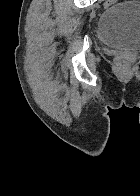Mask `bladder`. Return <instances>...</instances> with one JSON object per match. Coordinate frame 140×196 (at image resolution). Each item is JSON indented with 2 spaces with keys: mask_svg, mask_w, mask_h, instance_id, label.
<instances>
[{
  "mask_svg": "<svg viewBox=\"0 0 140 196\" xmlns=\"http://www.w3.org/2000/svg\"><path fill=\"white\" fill-rule=\"evenodd\" d=\"M99 37L109 47L140 50V1L108 7L99 19Z\"/></svg>",
  "mask_w": 140,
  "mask_h": 196,
  "instance_id": "31cf9c89",
  "label": "bladder"
}]
</instances>
